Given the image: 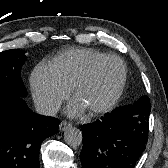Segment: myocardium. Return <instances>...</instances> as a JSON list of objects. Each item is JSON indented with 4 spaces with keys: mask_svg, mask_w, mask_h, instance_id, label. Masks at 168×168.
<instances>
[{
    "mask_svg": "<svg viewBox=\"0 0 168 168\" xmlns=\"http://www.w3.org/2000/svg\"><path fill=\"white\" fill-rule=\"evenodd\" d=\"M109 60H115L119 63L120 69H121V76L116 84L113 92L111 93L110 97L107 99L105 103H103L99 107H95L89 110V113L93 116L101 115L104 113H107L110 111L115 104L118 102L119 98L121 97V94L123 92V89L126 84L127 80V68L124 63V61L118 57L117 55L113 54H105L104 56L100 57L99 59L95 60L85 71V73L77 80L73 87V94L74 97L77 98L81 90L88 85L94 78L98 68Z\"/></svg>",
    "mask_w": 168,
    "mask_h": 168,
    "instance_id": "f54148a6",
    "label": "myocardium"
}]
</instances>
